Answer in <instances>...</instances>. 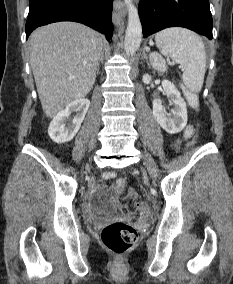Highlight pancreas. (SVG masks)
<instances>
[{"label": "pancreas", "instance_id": "cf45deb5", "mask_svg": "<svg viewBox=\"0 0 233 284\" xmlns=\"http://www.w3.org/2000/svg\"><path fill=\"white\" fill-rule=\"evenodd\" d=\"M153 66L155 69L159 70V71H165L166 70V63L163 60V58H161L159 55L155 54V59L153 61Z\"/></svg>", "mask_w": 233, "mask_h": 284}]
</instances>
